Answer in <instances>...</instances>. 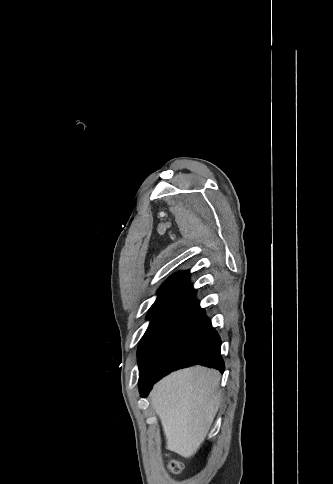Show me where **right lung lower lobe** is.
Segmentation results:
<instances>
[{
  "instance_id": "1",
  "label": "right lung lower lobe",
  "mask_w": 333,
  "mask_h": 484,
  "mask_svg": "<svg viewBox=\"0 0 333 484\" xmlns=\"http://www.w3.org/2000/svg\"><path fill=\"white\" fill-rule=\"evenodd\" d=\"M191 285L161 302L147 330L139 361V390L145 397L166 374L195 364L224 371L221 340L195 300Z\"/></svg>"
}]
</instances>
